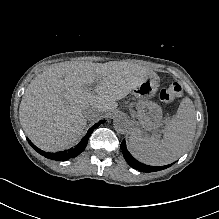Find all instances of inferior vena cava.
<instances>
[{
    "label": "inferior vena cava",
    "instance_id": "inferior-vena-cava-1",
    "mask_svg": "<svg viewBox=\"0 0 219 219\" xmlns=\"http://www.w3.org/2000/svg\"><path fill=\"white\" fill-rule=\"evenodd\" d=\"M85 120L88 124L90 125H95L99 122L100 120V115L97 111L95 110H90L86 113L85 115Z\"/></svg>",
    "mask_w": 219,
    "mask_h": 219
}]
</instances>
